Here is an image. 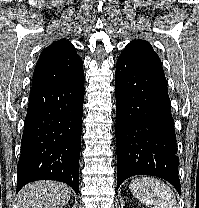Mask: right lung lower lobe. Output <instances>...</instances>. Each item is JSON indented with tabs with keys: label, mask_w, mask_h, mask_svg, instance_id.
<instances>
[{
	"label": "right lung lower lobe",
	"mask_w": 199,
	"mask_h": 208,
	"mask_svg": "<svg viewBox=\"0 0 199 208\" xmlns=\"http://www.w3.org/2000/svg\"><path fill=\"white\" fill-rule=\"evenodd\" d=\"M83 102L84 74L70 82L31 90L17 192L29 182L50 179L70 185L78 194Z\"/></svg>",
	"instance_id": "1"
}]
</instances>
